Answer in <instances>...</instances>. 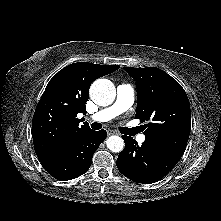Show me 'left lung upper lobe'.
Masks as SVG:
<instances>
[{"label": "left lung upper lobe", "instance_id": "1", "mask_svg": "<svg viewBox=\"0 0 221 221\" xmlns=\"http://www.w3.org/2000/svg\"><path fill=\"white\" fill-rule=\"evenodd\" d=\"M136 81V118L145 126V141L181 158L191 129L186 92L170 75L155 67H124Z\"/></svg>", "mask_w": 221, "mask_h": 221}]
</instances>
